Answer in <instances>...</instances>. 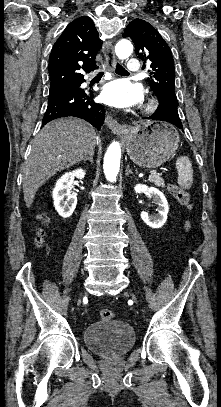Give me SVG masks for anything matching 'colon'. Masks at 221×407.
Wrapping results in <instances>:
<instances>
[{
  "label": "colon",
  "instance_id": "obj_1",
  "mask_svg": "<svg viewBox=\"0 0 221 407\" xmlns=\"http://www.w3.org/2000/svg\"><path fill=\"white\" fill-rule=\"evenodd\" d=\"M168 192L183 206L190 207V197L189 194L176 184H169L167 186ZM42 221H46L44 215L40 216ZM43 232L40 230L38 232V241H41ZM99 316L103 320H110L114 317V312L110 309H103L100 311Z\"/></svg>",
  "mask_w": 221,
  "mask_h": 407
}]
</instances>
